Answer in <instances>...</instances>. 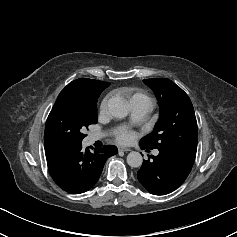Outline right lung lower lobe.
I'll use <instances>...</instances> for the list:
<instances>
[{"label":"right lung lower lobe","instance_id":"obj_1","mask_svg":"<svg viewBox=\"0 0 237 237\" xmlns=\"http://www.w3.org/2000/svg\"><path fill=\"white\" fill-rule=\"evenodd\" d=\"M113 145L91 152L81 143L45 141L47 165L54 182L64 191L79 194L95 185L106 160L117 153Z\"/></svg>","mask_w":237,"mask_h":237}]
</instances>
